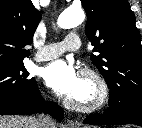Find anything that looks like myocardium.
Instances as JSON below:
<instances>
[{
  "mask_svg": "<svg viewBox=\"0 0 142 128\" xmlns=\"http://www.w3.org/2000/svg\"><path fill=\"white\" fill-rule=\"evenodd\" d=\"M82 79L87 81L93 87V96L88 101H79L74 97H69L66 104L80 112H94L101 109L108 102L109 87L104 77L96 70L85 67L81 71Z\"/></svg>",
  "mask_w": 142,
  "mask_h": 128,
  "instance_id": "obj_1",
  "label": "myocardium"
}]
</instances>
